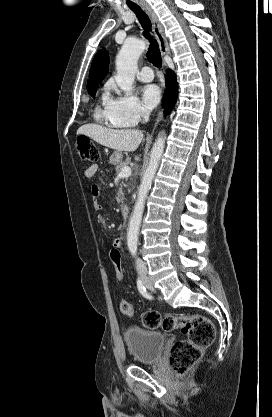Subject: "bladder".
Masks as SVG:
<instances>
[{"label": "bladder", "instance_id": "1", "mask_svg": "<svg viewBox=\"0 0 272 417\" xmlns=\"http://www.w3.org/2000/svg\"><path fill=\"white\" fill-rule=\"evenodd\" d=\"M124 341L135 361L153 364L160 360L166 338L160 332L129 327L124 332Z\"/></svg>", "mask_w": 272, "mask_h": 417}]
</instances>
